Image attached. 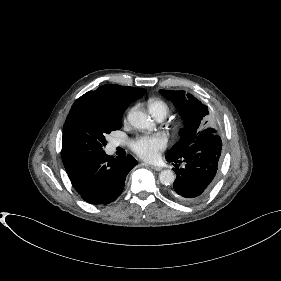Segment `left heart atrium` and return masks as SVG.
<instances>
[{"label":"left heart atrium","mask_w":281,"mask_h":281,"mask_svg":"<svg viewBox=\"0 0 281 281\" xmlns=\"http://www.w3.org/2000/svg\"><path fill=\"white\" fill-rule=\"evenodd\" d=\"M133 151L142 159L154 161L166 147V140L160 135H145L132 142Z\"/></svg>","instance_id":"39dd6f15"}]
</instances>
